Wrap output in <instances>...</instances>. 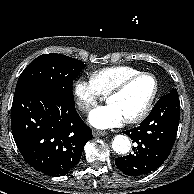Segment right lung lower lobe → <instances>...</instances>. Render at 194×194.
Segmentation results:
<instances>
[{"instance_id": "1", "label": "right lung lower lobe", "mask_w": 194, "mask_h": 194, "mask_svg": "<svg viewBox=\"0 0 194 194\" xmlns=\"http://www.w3.org/2000/svg\"><path fill=\"white\" fill-rule=\"evenodd\" d=\"M11 127L25 161L50 175L69 173L79 162L92 130L75 110L74 99L41 89L14 94Z\"/></svg>"}]
</instances>
